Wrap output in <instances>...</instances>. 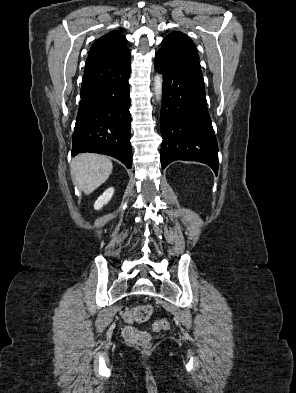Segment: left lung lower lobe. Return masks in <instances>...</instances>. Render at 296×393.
Here are the masks:
<instances>
[{
  "label": "left lung lower lobe",
  "mask_w": 296,
  "mask_h": 393,
  "mask_svg": "<svg viewBox=\"0 0 296 393\" xmlns=\"http://www.w3.org/2000/svg\"><path fill=\"white\" fill-rule=\"evenodd\" d=\"M163 74L161 164L197 161L218 171V145L207 109L200 65L178 63L155 54Z\"/></svg>",
  "instance_id": "left-lung-lower-lobe-1"
}]
</instances>
